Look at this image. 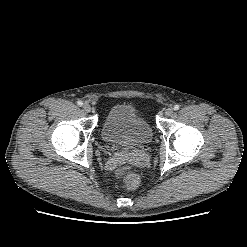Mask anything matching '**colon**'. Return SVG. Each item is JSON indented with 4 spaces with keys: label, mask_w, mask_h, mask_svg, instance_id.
I'll return each instance as SVG.
<instances>
[{
    "label": "colon",
    "mask_w": 247,
    "mask_h": 247,
    "mask_svg": "<svg viewBox=\"0 0 247 247\" xmlns=\"http://www.w3.org/2000/svg\"><path fill=\"white\" fill-rule=\"evenodd\" d=\"M141 182V177L138 172L130 170L127 171L123 176L124 187L133 190L136 189Z\"/></svg>",
    "instance_id": "colon-1"
}]
</instances>
